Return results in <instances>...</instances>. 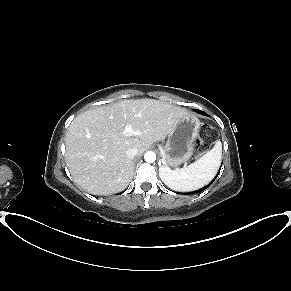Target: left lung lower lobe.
<instances>
[{"label":"left lung lower lobe","instance_id":"left-lung-lower-lobe-1","mask_svg":"<svg viewBox=\"0 0 291 291\" xmlns=\"http://www.w3.org/2000/svg\"><path fill=\"white\" fill-rule=\"evenodd\" d=\"M196 112H198V113H200V114H202V115H205V116H208L205 112H203V111H200V110H195ZM220 172V171H219ZM218 175V174H217ZM217 177V176H216ZM216 177L214 178V180L216 179ZM214 180H212V182L210 183V184H208L207 186H205L204 188H202V189H200V190H197V191H195V192H192L193 194H195V193H198V192H201V191H203L204 189H206V188H208L213 182H214Z\"/></svg>","mask_w":291,"mask_h":291}]
</instances>
